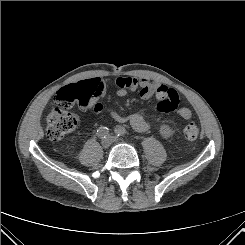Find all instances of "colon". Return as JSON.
<instances>
[{"mask_svg": "<svg viewBox=\"0 0 245 245\" xmlns=\"http://www.w3.org/2000/svg\"><path fill=\"white\" fill-rule=\"evenodd\" d=\"M98 95V86L93 80H83L67 85L57 92L56 107L47 118V135L51 140H60L78 125V116L69 109L73 104L85 107ZM183 135L194 140L199 135V127L189 122L183 128Z\"/></svg>", "mask_w": 245, "mask_h": 245, "instance_id": "1", "label": "colon"}]
</instances>
